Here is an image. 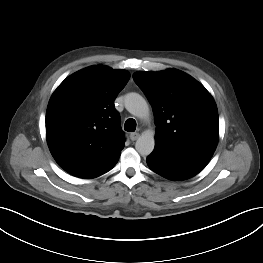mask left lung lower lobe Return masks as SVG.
<instances>
[{"label":"left lung lower lobe","instance_id":"obj_1","mask_svg":"<svg viewBox=\"0 0 263 263\" xmlns=\"http://www.w3.org/2000/svg\"><path fill=\"white\" fill-rule=\"evenodd\" d=\"M213 152L200 149L173 148L155 144L147 157L149 168L174 181L185 180L198 174L209 162Z\"/></svg>","mask_w":263,"mask_h":263}]
</instances>
